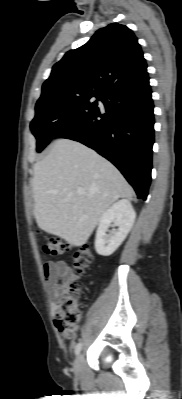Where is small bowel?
<instances>
[{
  "label": "small bowel",
  "mask_w": 182,
  "mask_h": 399,
  "mask_svg": "<svg viewBox=\"0 0 182 399\" xmlns=\"http://www.w3.org/2000/svg\"><path fill=\"white\" fill-rule=\"evenodd\" d=\"M43 274L48 288L51 311L55 315L57 304L69 291L77 277L70 266L64 261L45 262L43 265Z\"/></svg>",
  "instance_id": "1"
}]
</instances>
